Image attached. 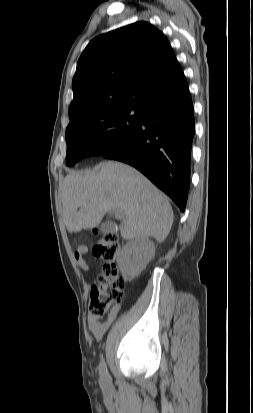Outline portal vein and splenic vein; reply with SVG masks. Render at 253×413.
Returning <instances> with one entry per match:
<instances>
[{
  "label": "portal vein and splenic vein",
  "mask_w": 253,
  "mask_h": 413,
  "mask_svg": "<svg viewBox=\"0 0 253 413\" xmlns=\"http://www.w3.org/2000/svg\"><path fill=\"white\" fill-rule=\"evenodd\" d=\"M115 214H116V216H121V215H122V212H121L120 210H116V211H115Z\"/></svg>",
  "instance_id": "18ae733b"
}]
</instances>
